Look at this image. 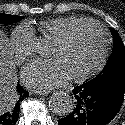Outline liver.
<instances>
[{
	"instance_id": "1",
	"label": "liver",
	"mask_w": 125,
	"mask_h": 125,
	"mask_svg": "<svg viewBox=\"0 0 125 125\" xmlns=\"http://www.w3.org/2000/svg\"><path fill=\"white\" fill-rule=\"evenodd\" d=\"M16 83L17 77L8 40L0 31V113L8 106V102L14 101Z\"/></svg>"
}]
</instances>
